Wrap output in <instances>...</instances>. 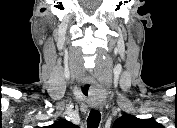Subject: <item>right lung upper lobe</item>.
I'll list each match as a JSON object with an SVG mask.
<instances>
[{
	"label": "right lung upper lobe",
	"instance_id": "cb5924a9",
	"mask_svg": "<svg viewBox=\"0 0 177 128\" xmlns=\"http://www.w3.org/2000/svg\"><path fill=\"white\" fill-rule=\"evenodd\" d=\"M51 127H53V128H74L76 126L66 120H60V121L52 124Z\"/></svg>",
	"mask_w": 177,
	"mask_h": 128
}]
</instances>
